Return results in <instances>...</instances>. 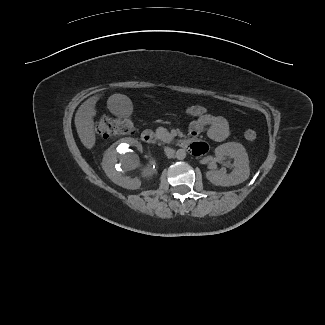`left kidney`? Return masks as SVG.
Wrapping results in <instances>:
<instances>
[{"label": "left kidney", "instance_id": "1", "mask_svg": "<svg viewBox=\"0 0 325 325\" xmlns=\"http://www.w3.org/2000/svg\"><path fill=\"white\" fill-rule=\"evenodd\" d=\"M215 154L219 158L227 156L234 160L233 170L227 174L223 170L206 172L207 179L216 186L238 185L248 179L250 175L248 154L244 146L237 142H228L218 146Z\"/></svg>", "mask_w": 325, "mask_h": 325}]
</instances>
